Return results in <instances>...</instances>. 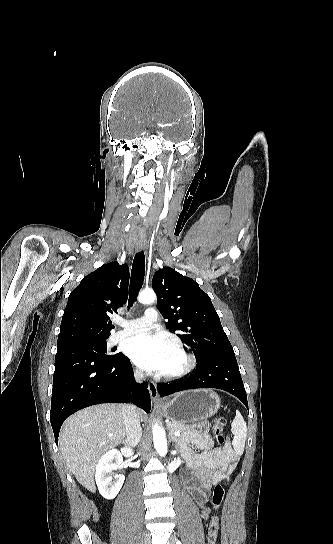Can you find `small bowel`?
<instances>
[{
  "mask_svg": "<svg viewBox=\"0 0 333 544\" xmlns=\"http://www.w3.org/2000/svg\"><path fill=\"white\" fill-rule=\"evenodd\" d=\"M193 445L198 452L190 447ZM186 460L183 481L187 491L193 495L201 508V517L207 520L210 509L205 506L211 489L228 480L239 460V455L228 441L224 448L215 447L206 422L185 436L180 443Z\"/></svg>",
  "mask_w": 333,
  "mask_h": 544,
  "instance_id": "c3829d8e",
  "label": "small bowel"
}]
</instances>
